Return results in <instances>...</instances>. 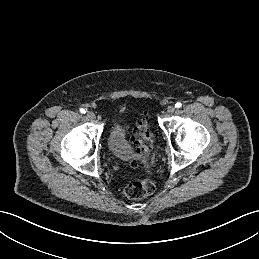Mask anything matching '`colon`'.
Segmentation results:
<instances>
[{"label":"colon","instance_id":"obj_1","mask_svg":"<svg viewBox=\"0 0 259 259\" xmlns=\"http://www.w3.org/2000/svg\"><path fill=\"white\" fill-rule=\"evenodd\" d=\"M135 146L144 163L152 160L153 137L147 119H143L137 129ZM154 191V183L148 178L131 181L124 189L123 193L130 199H141L149 196Z\"/></svg>","mask_w":259,"mask_h":259}]
</instances>
